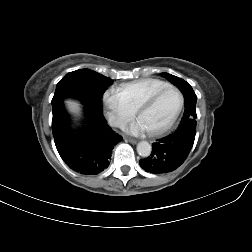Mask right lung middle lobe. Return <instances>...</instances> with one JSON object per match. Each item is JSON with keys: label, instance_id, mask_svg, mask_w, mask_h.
Instances as JSON below:
<instances>
[{"label": "right lung middle lobe", "instance_id": "right-lung-middle-lobe-1", "mask_svg": "<svg viewBox=\"0 0 252 252\" xmlns=\"http://www.w3.org/2000/svg\"><path fill=\"white\" fill-rule=\"evenodd\" d=\"M111 84L109 77L89 69L70 72L57 84L52 107L62 104L66 97H73L85 106L101 111L102 95Z\"/></svg>", "mask_w": 252, "mask_h": 252}]
</instances>
